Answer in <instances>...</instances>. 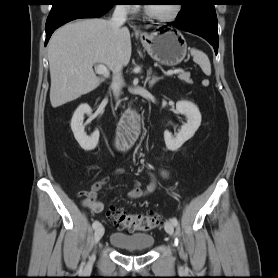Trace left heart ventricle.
<instances>
[{"label": "left heart ventricle", "mask_w": 278, "mask_h": 278, "mask_svg": "<svg viewBox=\"0 0 278 278\" xmlns=\"http://www.w3.org/2000/svg\"><path fill=\"white\" fill-rule=\"evenodd\" d=\"M149 8L153 13L159 15H168L172 13L174 9V4L149 5Z\"/></svg>", "instance_id": "b2bd125f"}]
</instances>
